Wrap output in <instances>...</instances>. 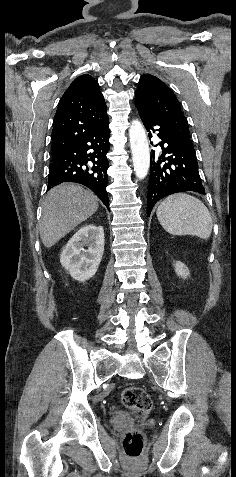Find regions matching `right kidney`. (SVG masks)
Returning <instances> with one entry per match:
<instances>
[{
  "label": "right kidney",
  "mask_w": 236,
  "mask_h": 477,
  "mask_svg": "<svg viewBox=\"0 0 236 477\" xmlns=\"http://www.w3.org/2000/svg\"><path fill=\"white\" fill-rule=\"evenodd\" d=\"M87 247V249H85ZM104 252L102 226L86 225L68 241L60 257L61 265L73 279L84 282L95 275Z\"/></svg>",
  "instance_id": "1"
}]
</instances>
